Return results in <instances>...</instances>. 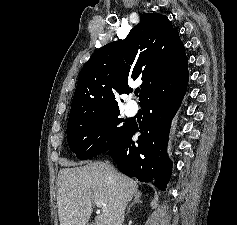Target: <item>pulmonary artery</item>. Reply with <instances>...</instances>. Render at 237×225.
<instances>
[{"label": "pulmonary artery", "mask_w": 237, "mask_h": 225, "mask_svg": "<svg viewBox=\"0 0 237 225\" xmlns=\"http://www.w3.org/2000/svg\"><path fill=\"white\" fill-rule=\"evenodd\" d=\"M138 110V105L135 101L129 100L126 102V113L130 116L134 115Z\"/></svg>", "instance_id": "obj_1"}]
</instances>
